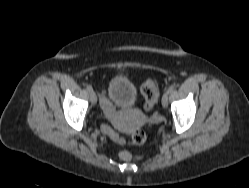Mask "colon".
<instances>
[{"instance_id": "1", "label": "colon", "mask_w": 249, "mask_h": 188, "mask_svg": "<svg viewBox=\"0 0 249 188\" xmlns=\"http://www.w3.org/2000/svg\"><path fill=\"white\" fill-rule=\"evenodd\" d=\"M141 93L144 97V109L146 112H151L155 106L157 99V89L155 82L152 79H147L141 87ZM103 130L108 134L112 139L118 142H124L123 139L115 133L111 128L105 126ZM146 140V134L142 130H136L131 137V142L135 145H142ZM120 158L123 160H132L133 155L129 152H121Z\"/></svg>"}]
</instances>
